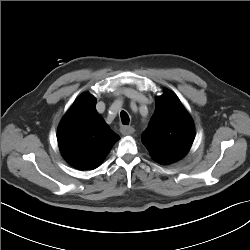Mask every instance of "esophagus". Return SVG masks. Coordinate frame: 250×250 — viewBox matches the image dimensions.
Wrapping results in <instances>:
<instances>
[{"label": "esophagus", "instance_id": "1", "mask_svg": "<svg viewBox=\"0 0 250 250\" xmlns=\"http://www.w3.org/2000/svg\"><path fill=\"white\" fill-rule=\"evenodd\" d=\"M120 132L123 135H131L135 132V129L132 126L123 125L120 127Z\"/></svg>", "mask_w": 250, "mask_h": 250}]
</instances>
